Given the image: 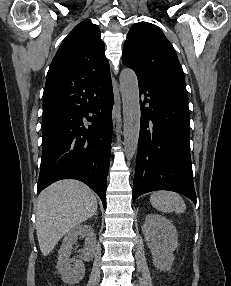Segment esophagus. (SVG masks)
I'll use <instances>...</instances> for the list:
<instances>
[{
	"label": "esophagus",
	"mask_w": 231,
	"mask_h": 286,
	"mask_svg": "<svg viewBox=\"0 0 231 286\" xmlns=\"http://www.w3.org/2000/svg\"><path fill=\"white\" fill-rule=\"evenodd\" d=\"M116 115H117V109H116V107L114 106V107H113V112H112V118H113V123H114V124H115Z\"/></svg>",
	"instance_id": "34e87169"
}]
</instances>
